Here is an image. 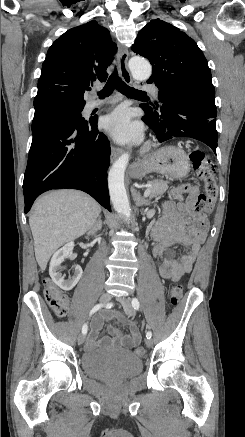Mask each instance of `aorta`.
<instances>
[{
    "instance_id": "1",
    "label": "aorta",
    "mask_w": 245,
    "mask_h": 437,
    "mask_svg": "<svg viewBox=\"0 0 245 437\" xmlns=\"http://www.w3.org/2000/svg\"><path fill=\"white\" fill-rule=\"evenodd\" d=\"M129 68L134 79L145 81L152 73L150 63L141 57H133L129 61ZM129 153H123L112 165L108 174L110 198L115 211L123 215L126 220L130 217V205L124 186V174L129 162Z\"/></svg>"
}]
</instances>
